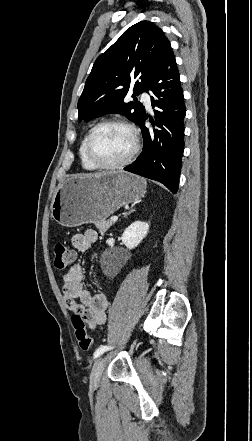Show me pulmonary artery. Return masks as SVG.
Instances as JSON below:
<instances>
[{
    "instance_id": "1",
    "label": "pulmonary artery",
    "mask_w": 252,
    "mask_h": 441,
    "mask_svg": "<svg viewBox=\"0 0 252 441\" xmlns=\"http://www.w3.org/2000/svg\"><path fill=\"white\" fill-rule=\"evenodd\" d=\"M141 98H142V100L144 101L145 106H146L148 109H151L150 95H149L148 93L144 92V93L141 95Z\"/></svg>"
}]
</instances>
